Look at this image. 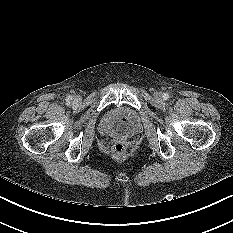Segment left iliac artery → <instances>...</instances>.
Returning <instances> with one entry per match:
<instances>
[{
  "label": "left iliac artery",
  "instance_id": "1",
  "mask_svg": "<svg viewBox=\"0 0 233 233\" xmlns=\"http://www.w3.org/2000/svg\"><path fill=\"white\" fill-rule=\"evenodd\" d=\"M163 97H164V99H168L169 95L167 93H164Z\"/></svg>",
  "mask_w": 233,
  "mask_h": 233
}]
</instances>
